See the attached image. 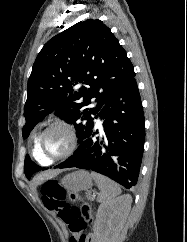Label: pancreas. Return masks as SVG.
Returning <instances> with one entry per match:
<instances>
[{
  "label": "pancreas",
  "instance_id": "cf45deb5",
  "mask_svg": "<svg viewBox=\"0 0 187 242\" xmlns=\"http://www.w3.org/2000/svg\"><path fill=\"white\" fill-rule=\"evenodd\" d=\"M87 198H88L89 200H91V201H94L95 196H93V195H88Z\"/></svg>",
  "mask_w": 187,
  "mask_h": 242
}]
</instances>
